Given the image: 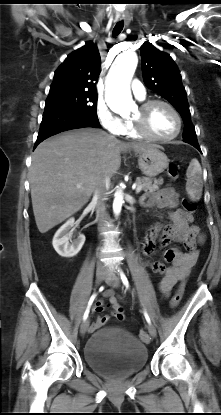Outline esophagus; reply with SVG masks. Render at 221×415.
<instances>
[{"mask_svg":"<svg viewBox=\"0 0 221 415\" xmlns=\"http://www.w3.org/2000/svg\"><path fill=\"white\" fill-rule=\"evenodd\" d=\"M120 20H123L126 24L129 23V17L128 16H121Z\"/></svg>","mask_w":221,"mask_h":415,"instance_id":"obj_1","label":"esophagus"}]
</instances>
